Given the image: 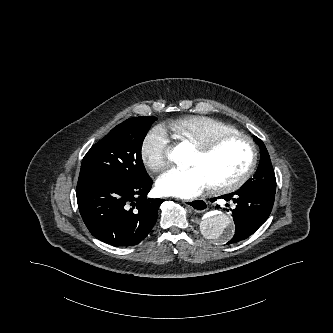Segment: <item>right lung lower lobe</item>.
Returning <instances> with one entry per match:
<instances>
[{
    "instance_id": "obj_1",
    "label": "right lung lower lobe",
    "mask_w": 333,
    "mask_h": 333,
    "mask_svg": "<svg viewBox=\"0 0 333 333\" xmlns=\"http://www.w3.org/2000/svg\"><path fill=\"white\" fill-rule=\"evenodd\" d=\"M152 180H91L77 183L81 217L90 233L113 246H133L153 228L162 199L147 198Z\"/></svg>"
}]
</instances>
